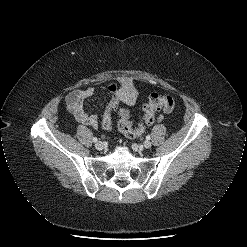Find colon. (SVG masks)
Instances as JSON below:
<instances>
[{
  "mask_svg": "<svg viewBox=\"0 0 247 247\" xmlns=\"http://www.w3.org/2000/svg\"><path fill=\"white\" fill-rule=\"evenodd\" d=\"M175 109V101L170 96H162L157 93L150 95L148 102L143 107V119L137 127H133L130 120V113L127 108L121 106L118 94H114L109 106L107 107L102 126L105 130H110L112 126V113L118 112L120 119L118 122L119 131L128 139L140 137L147 126L155 121V115L159 111L170 113Z\"/></svg>",
  "mask_w": 247,
  "mask_h": 247,
  "instance_id": "colon-1",
  "label": "colon"
}]
</instances>
